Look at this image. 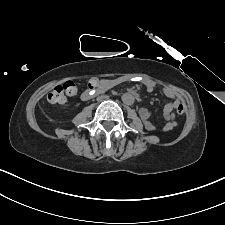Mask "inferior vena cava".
<instances>
[{
    "mask_svg": "<svg viewBox=\"0 0 225 225\" xmlns=\"http://www.w3.org/2000/svg\"><path fill=\"white\" fill-rule=\"evenodd\" d=\"M107 97H108V96H101L100 98H101V99H104V98H107Z\"/></svg>",
    "mask_w": 225,
    "mask_h": 225,
    "instance_id": "obj_1",
    "label": "inferior vena cava"
}]
</instances>
